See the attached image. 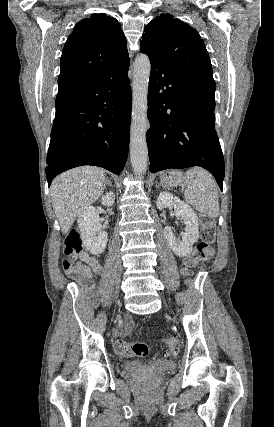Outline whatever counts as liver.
I'll list each match as a JSON object with an SVG mask.
<instances>
[{"instance_id":"obj_1","label":"liver","mask_w":274,"mask_h":427,"mask_svg":"<svg viewBox=\"0 0 274 427\" xmlns=\"http://www.w3.org/2000/svg\"><path fill=\"white\" fill-rule=\"evenodd\" d=\"M106 184L105 172L95 166L74 168L54 178L50 196L63 233L69 231L80 212L98 200Z\"/></svg>"}]
</instances>
